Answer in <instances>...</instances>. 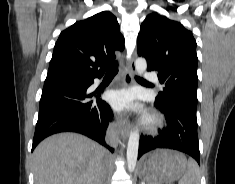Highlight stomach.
<instances>
[{"label": "stomach", "mask_w": 235, "mask_h": 184, "mask_svg": "<svg viewBox=\"0 0 235 184\" xmlns=\"http://www.w3.org/2000/svg\"><path fill=\"white\" fill-rule=\"evenodd\" d=\"M143 160L140 176L147 184H173L187 168L186 156L176 150H154Z\"/></svg>", "instance_id": "obj_1"}]
</instances>
